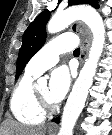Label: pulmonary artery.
I'll list each match as a JSON object with an SVG mask.
<instances>
[{"instance_id":"pulmonary-artery-1","label":"pulmonary artery","mask_w":112,"mask_h":135,"mask_svg":"<svg viewBox=\"0 0 112 135\" xmlns=\"http://www.w3.org/2000/svg\"><path fill=\"white\" fill-rule=\"evenodd\" d=\"M77 44L78 41L74 34L60 35L41 48L27 64L26 71L39 76L58 62L61 53L75 49Z\"/></svg>"}]
</instances>
